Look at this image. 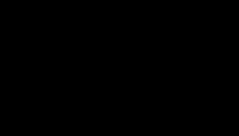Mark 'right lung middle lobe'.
<instances>
[{
    "instance_id": "right-lung-middle-lobe-1",
    "label": "right lung middle lobe",
    "mask_w": 239,
    "mask_h": 136,
    "mask_svg": "<svg viewBox=\"0 0 239 136\" xmlns=\"http://www.w3.org/2000/svg\"><path fill=\"white\" fill-rule=\"evenodd\" d=\"M56 31L68 38L106 46L110 33V24L105 20L97 22L76 21L69 22L52 30L50 38Z\"/></svg>"
}]
</instances>
